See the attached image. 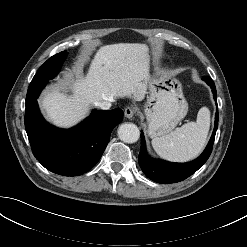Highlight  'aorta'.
Listing matches in <instances>:
<instances>
[{"label":"aorta","instance_id":"aorta-1","mask_svg":"<svg viewBox=\"0 0 247 247\" xmlns=\"http://www.w3.org/2000/svg\"><path fill=\"white\" fill-rule=\"evenodd\" d=\"M118 137L125 143H135L140 137V131L135 124L124 123L118 128Z\"/></svg>","mask_w":247,"mask_h":247}]
</instances>
